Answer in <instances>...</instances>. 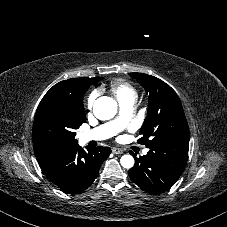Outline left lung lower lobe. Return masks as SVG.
I'll return each mask as SVG.
<instances>
[{"label":"left lung lower lobe","instance_id":"0a47b994","mask_svg":"<svg viewBox=\"0 0 227 227\" xmlns=\"http://www.w3.org/2000/svg\"><path fill=\"white\" fill-rule=\"evenodd\" d=\"M146 156L135 158L129 170L130 179L143 191L160 194L168 190L181 176L187 162L189 142L147 146Z\"/></svg>","mask_w":227,"mask_h":227}]
</instances>
